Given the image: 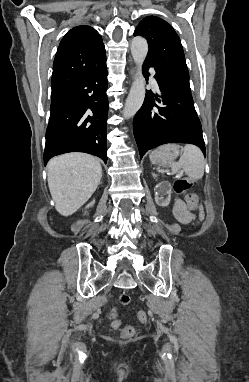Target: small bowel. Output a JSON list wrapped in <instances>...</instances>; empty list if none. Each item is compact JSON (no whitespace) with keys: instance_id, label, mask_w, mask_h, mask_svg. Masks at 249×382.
Returning a JSON list of instances; mask_svg holds the SVG:
<instances>
[{"instance_id":"1","label":"small bowel","mask_w":249,"mask_h":382,"mask_svg":"<svg viewBox=\"0 0 249 382\" xmlns=\"http://www.w3.org/2000/svg\"><path fill=\"white\" fill-rule=\"evenodd\" d=\"M175 216L183 224L191 223L194 216L185 208L181 201L175 203Z\"/></svg>"}]
</instances>
